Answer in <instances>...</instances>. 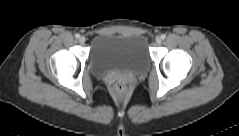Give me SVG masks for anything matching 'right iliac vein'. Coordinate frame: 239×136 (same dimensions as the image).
Instances as JSON below:
<instances>
[{"mask_svg":"<svg viewBox=\"0 0 239 136\" xmlns=\"http://www.w3.org/2000/svg\"><path fill=\"white\" fill-rule=\"evenodd\" d=\"M86 42V38L84 36L79 37V43L84 44Z\"/></svg>","mask_w":239,"mask_h":136,"instance_id":"right-iliac-vein-1","label":"right iliac vein"}]
</instances>
